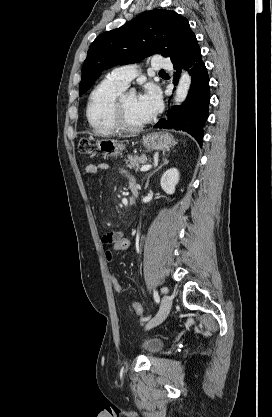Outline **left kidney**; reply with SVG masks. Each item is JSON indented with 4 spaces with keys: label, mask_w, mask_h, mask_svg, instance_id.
<instances>
[{
    "label": "left kidney",
    "mask_w": 272,
    "mask_h": 417,
    "mask_svg": "<svg viewBox=\"0 0 272 417\" xmlns=\"http://www.w3.org/2000/svg\"><path fill=\"white\" fill-rule=\"evenodd\" d=\"M179 171L176 168L168 169L161 177L162 189L169 195L175 192V186L179 182Z\"/></svg>",
    "instance_id": "left-kidney-1"
}]
</instances>
